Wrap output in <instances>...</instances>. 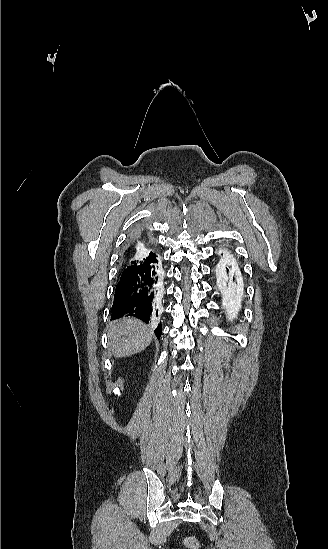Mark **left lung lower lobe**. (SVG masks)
Returning a JSON list of instances; mask_svg holds the SVG:
<instances>
[{
    "mask_svg": "<svg viewBox=\"0 0 328 549\" xmlns=\"http://www.w3.org/2000/svg\"><path fill=\"white\" fill-rule=\"evenodd\" d=\"M230 258L225 256L216 269L217 283L216 287L224 298L229 297L232 292L239 289V284L233 275Z\"/></svg>",
    "mask_w": 328,
    "mask_h": 549,
    "instance_id": "0a47b994",
    "label": "left lung lower lobe"
}]
</instances>
